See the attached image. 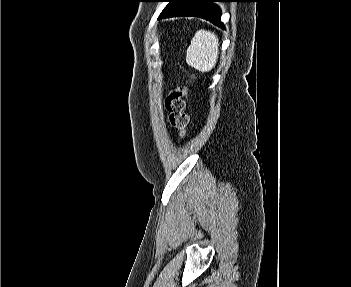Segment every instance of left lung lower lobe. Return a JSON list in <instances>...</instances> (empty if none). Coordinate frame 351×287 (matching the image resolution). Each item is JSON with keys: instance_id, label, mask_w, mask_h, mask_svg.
Wrapping results in <instances>:
<instances>
[{"instance_id": "1", "label": "left lung lower lobe", "mask_w": 351, "mask_h": 287, "mask_svg": "<svg viewBox=\"0 0 351 287\" xmlns=\"http://www.w3.org/2000/svg\"><path fill=\"white\" fill-rule=\"evenodd\" d=\"M223 0H172L162 11L159 19L168 17L194 16L206 19L224 28L220 21L221 11L213 2Z\"/></svg>"}]
</instances>
